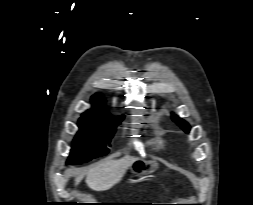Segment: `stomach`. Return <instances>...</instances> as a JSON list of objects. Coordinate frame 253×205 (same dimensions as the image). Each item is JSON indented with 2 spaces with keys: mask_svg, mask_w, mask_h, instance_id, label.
<instances>
[{
  "mask_svg": "<svg viewBox=\"0 0 253 205\" xmlns=\"http://www.w3.org/2000/svg\"><path fill=\"white\" fill-rule=\"evenodd\" d=\"M157 168L158 163L156 161L137 158L132 162L130 171L137 176H144L153 172Z\"/></svg>",
  "mask_w": 253,
  "mask_h": 205,
  "instance_id": "0dacf381",
  "label": "stomach"
}]
</instances>
